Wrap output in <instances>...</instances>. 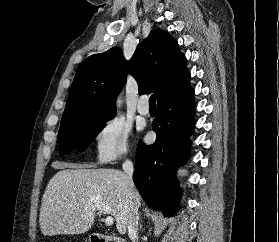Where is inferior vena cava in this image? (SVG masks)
<instances>
[{
	"mask_svg": "<svg viewBox=\"0 0 279 242\" xmlns=\"http://www.w3.org/2000/svg\"><path fill=\"white\" fill-rule=\"evenodd\" d=\"M122 168L126 175L128 176V186H127V195L130 199V212L128 216V236L133 242L138 241V208L135 203V196H134V183L132 180V175L134 172L133 163L130 160H126Z\"/></svg>",
	"mask_w": 279,
	"mask_h": 242,
	"instance_id": "obj_1",
	"label": "inferior vena cava"
}]
</instances>
